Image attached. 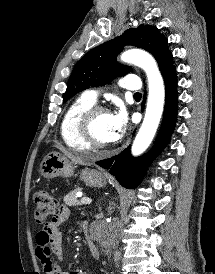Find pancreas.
Returning a JSON list of instances; mask_svg holds the SVG:
<instances>
[{"label":"pancreas","mask_w":215,"mask_h":274,"mask_svg":"<svg viewBox=\"0 0 215 274\" xmlns=\"http://www.w3.org/2000/svg\"><path fill=\"white\" fill-rule=\"evenodd\" d=\"M81 188H76L73 191H71L70 193H68L65 197H64V202L66 205L68 206H79L80 202L78 201L76 194L77 192L81 191Z\"/></svg>","instance_id":"pancreas-1"}]
</instances>
